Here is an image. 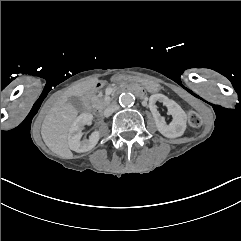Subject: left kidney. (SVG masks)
<instances>
[{"instance_id":"1","label":"left kidney","mask_w":241,"mask_h":241,"mask_svg":"<svg viewBox=\"0 0 241 241\" xmlns=\"http://www.w3.org/2000/svg\"><path fill=\"white\" fill-rule=\"evenodd\" d=\"M162 102L168 108V114L172 115L173 120L169 125L166 124L165 118L157 111L155 103ZM149 108L154 117L158 131L165 137L176 138L182 136L186 129V113L173 100L169 99L163 94H153L149 98Z\"/></svg>"}]
</instances>
